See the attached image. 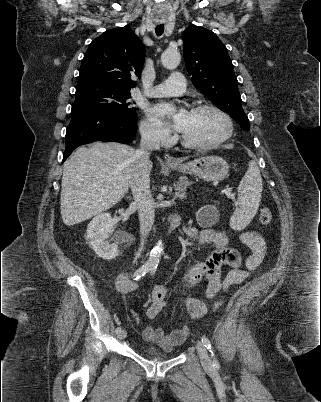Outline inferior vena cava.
I'll list each match as a JSON object with an SVG mask.
<instances>
[{"label":"inferior vena cava","instance_id":"602c4592","mask_svg":"<svg viewBox=\"0 0 321 402\" xmlns=\"http://www.w3.org/2000/svg\"><path fill=\"white\" fill-rule=\"evenodd\" d=\"M160 148V136L152 128L141 130L140 149L136 151V164L130 178L134 203L138 208L141 243L146 241L154 223V202L150 192L149 155Z\"/></svg>","mask_w":321,"mask_h":402}]
</instances>
